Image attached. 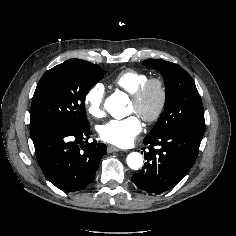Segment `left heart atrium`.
I'll use <instances>...</instances> for the list:
<instances>
[{
    "label": "left heart atrium",
    "mask_w": 236,
    "mask_h": 236,
    "mask_svg": "<svg viewBox=\"0 0 236 236\" xmlns=\"http://www.w3.org/2000/svg\"><path fill=\"white\" fill-rule=\"evenodd\" d=\"M142 124L137 116L111 120L99 128L101 139L107 143L127 147L141 132Z\"/></svg>",
    "instance_id": "left-heart-atrium-1"
}]
</instances>
